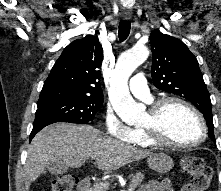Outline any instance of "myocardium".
<instances>
[{
	"mask_svg": "<svg viewBox=\"0 0 221 191\" xmlns=\"http://www.w3.org/2000/svg\"><path fill=\"white\" fill-rule=\"evenodd\" d=\"M170 104H178L186 108L197 118L201 127V136L198 140L190 143H178L166 138L163 117L166 107ZM148 118V122L143 124L141 128L146 132L148 138L155 146L181 149L194 148L202 144L207 137V125L200 111L190 102L176 96L162 97L153 102L148 110Z\"/></svg>",
	"mask_w": 221,
	"mask_h": 191,
	"instance_id": "myocardium-1",
	"label": "myocardium"
}]
</instances>
